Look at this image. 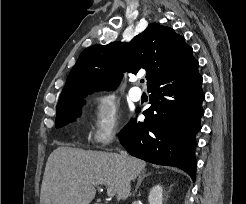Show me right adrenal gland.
<instances>
[{
    "instance_id": "2a0ac1e0",
    "label": "right adrenal gland",
    "mask_w": 246,
    "mask_h": 204,
    "mask_svg": "<svg viewBox=\"0 0 246 204\" xmlns=\"http://www.w3.org/2000/svg\"><path fill=\"white\" fill-rule=\"evenodd\" d=\"M150 174H151V172L146 173V170H143V171L138 175L137 185H136V188H135V190H134V192H133V195H134V196L136 195V193H137V191H138V189H139V186H140L142 180H143L145 177H147L148 175H150ZM139 196H140V194H139Z\"/></svg>"
}]
</instances>
